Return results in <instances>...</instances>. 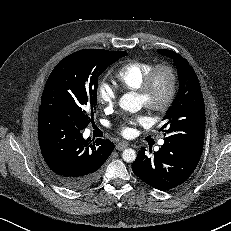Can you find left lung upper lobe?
<instances>
[{"mask_svg": "<svg viewBox=\"0 0 231 231\" xmlns=\"http://www.w3.org/2000/svg\"><path fill=\"white\" fill-rule=\"evenodd\" d=\"M159 53L174 59L180 82L179 93L163 118L165 125L160 129L165 132V142L202 147L205 106L196 73L180 55L168 50H159Z\"/></svg>", "mask_w": 231, "mask_h": 231, "instance_id": "obj_1", "label": "left lung upper lobe"}]
</instances>
